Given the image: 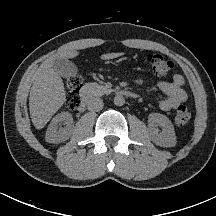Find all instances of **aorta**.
<instances>
[{"label": "aorta", "mask_w": 216, "mask_h": 216, "mask_svg": "<svg viewBox=\"0 0 216 216\" xmlns=\"http://www.w3.org/2000/svg\"><path fill=\"white\" fill-rule=\"evenodd\" d=\"M114 104L116 106H123L125 104V99L122 95H116L114 98Z\"/></svg>", "instance_id": "1"}]
</instances>
